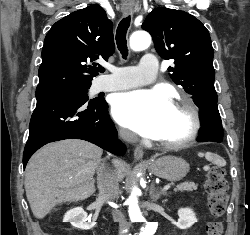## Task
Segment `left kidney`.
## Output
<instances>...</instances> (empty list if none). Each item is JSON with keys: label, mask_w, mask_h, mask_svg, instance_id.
<instances>
[{"label": "left kidney", "mask_w": 250, "mask_h": 235, "mask_svg": "<svg viewBox=\"0 0 250 235\" xmlns=\"http://www.w3.org/2000/svg\"><path fill=\"white\" fill-rule=\"evenodd\" d=\"M178 216H179V219L177 222H175V225L181 230L190 228L192 225H194L197 222L195 213L190 208L179 209Z\"/></svg>", "instance_id": "1"}]
</instances>
